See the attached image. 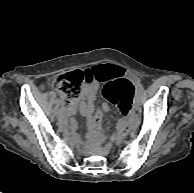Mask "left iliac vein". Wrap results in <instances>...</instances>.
I'll use <instances>...</instances> for the list:
<instances>
[{"mask_svg": "<svg viewBox=\"0 0 194 193\" xmlns=\"http://www.w3.org/2000/svg\"><path fill=\"white\" fill-rule=\"evenodd\" d=\"M136 94H137V92H136ZM135 109H136V110H139V104H138L137 101H136V104H135Z\"/></svg>", "mask_w": 194, "mask_h": 193, "instance_id": "left-iliac-vein-1", "label": "left iliac vein"}]
</instances>
